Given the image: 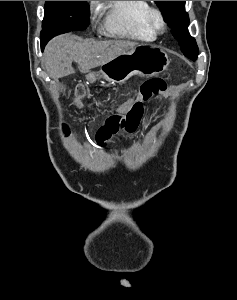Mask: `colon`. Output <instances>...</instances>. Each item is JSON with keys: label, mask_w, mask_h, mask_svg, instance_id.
Segmentation results:
<instances>
[{"label": "colon", "mask_w": 237, "mask_h": 300, "mask_svg": "<svg viewBox=\"0 0 237 300\" xmlns=\"http://www.w3.org/2000/svg\"><path fill=\"white\" fill-rule=\"evenodd\" d=\"M167 90V84L162 78H151L144 81L137 93V98L126 112V114H114L109 116L100 126L96 134V143L99 147H105L113 137L120 132L133 133L140 124L143 116V102L152 97L162 95ZM85 89L78 85L74 93L76 107H82V99Z\"/></svg>", "instance_id": "1"}]
</instances>
